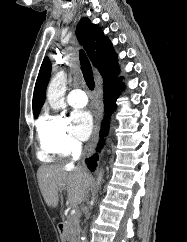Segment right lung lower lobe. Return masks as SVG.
<instances>
[{
	"instance_id": "98d812e1",
	"label": "right lung lower lobe",
	"mask_w": 187,
	"mask_h": 242,
	"mask_svg": "<svg viewBox=\"0 0 187 242\" xmlns=\"http://www.w3.org/2000/svg\"><path fill=\"white\" fill-rule=\"evenodd\" d=\"M121 87V79L116 78L108 83L104 84V103H105V119L102 123V128L100 131V141L97 147V151L102 149L104 136L107 135L109 129V119L108 116L116 107L115 101L118 97L119 89ZM97 153L86 159V164L91 171H94L97 166Z\"/></svg>"
}]
</instances>
